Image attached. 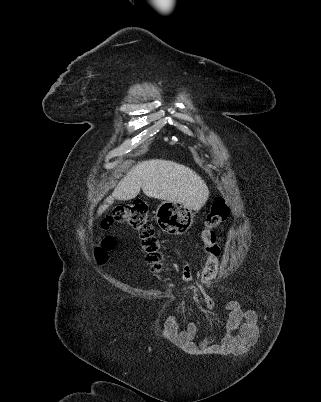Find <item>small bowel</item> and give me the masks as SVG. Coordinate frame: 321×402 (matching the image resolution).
Listing matches in <instances>:
<instances>
[{
  "mask_svg": "<svg viewBox=\"0 0 321 402\" xmlns=\"http://www.w3.org/2000/svg\"><path fill=\"white\" fill-rule=\"evenodd\" d=\"M182 278L184 281H192L195 279L191 269L187 265L182 267ZM207 310L213 311L216 308L215 303L209 302L206 305ZM229 310V318L227 326L230 328V334L221 330L218 332H206V337H218L224 344H218L215 338H206L203 344L195 341L197 334V326L189 323L185 328H180L177 318H171L166 323V333L174 342L184 348L187 357L195 356H215L218 358H232L235 353L242 356V353H252L253 347L256 346V339L260 337L257 330L260 327L259 320H254L255 312L251 307L243 302H229L226 305ZM240 324V326H237ZM199 350V351H195Z\"/></svg>",
  "mask_w": 321,
  "mask_h": 402,
  "instance_id": "small-bowel-1",
  "label": "small bowel"
}]
</instances>
